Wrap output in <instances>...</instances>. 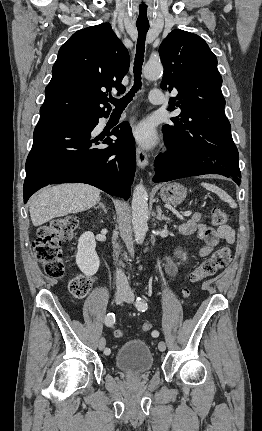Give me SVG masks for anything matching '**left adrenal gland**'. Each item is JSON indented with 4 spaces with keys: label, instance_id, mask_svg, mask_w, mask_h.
<instances>
[{
    "label": "left adrenal gland",
    "instance_id": "1",
    "mask_svg": "<svg viewBox=\"0 0 262 431\" xmlns=\"http://www.w3.org/2000/svg\"><path fill=\"white\" fill-rule=\"evenodd\" d=\"M158 220L169 221L170 219L162 214V210L160 206H157V217Z\"/></svg>",
    "mask_w": 262,
    "mask_h": 431
}]
</instances>
